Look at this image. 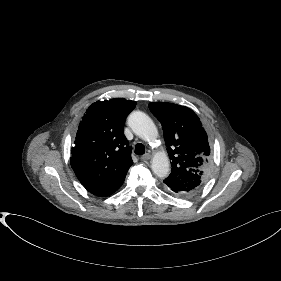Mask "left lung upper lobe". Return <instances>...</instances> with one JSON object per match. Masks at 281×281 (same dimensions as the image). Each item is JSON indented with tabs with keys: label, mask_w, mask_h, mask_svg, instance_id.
Here are the masks:
<instances>
[{
	"label": "left lung upper lobe",
	"mask_w": 281,
	"mask_h": 281,
	"mask_svg": "<svg viewBox=\"0 0 281 281\" xmlns=\"http://www.w3.org/2000/svg\"><path fill=\"white\" fill-rule=\"evenodd\" d=\"M149 109L162 125L171 159L166 187L187 197L195 195L208 180L212 167L207 134L199 118L190 108L172 103H150Z\"/></svg>",
	"instance_id": "5c2ea615"
}]
</instances>
